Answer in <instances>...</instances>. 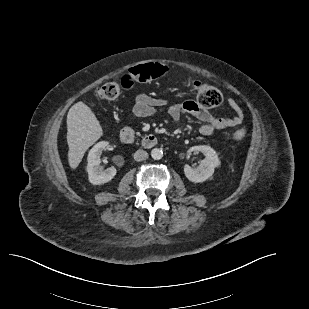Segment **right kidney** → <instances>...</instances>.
Segmentation results:
<instances>
[{
  "mask_svg": "<svg viewBox=\"0 0 309 309\" xmlns=\"http://www.w3.org/2000/svg\"><path fill=\"white\" fill-rule=\"evenodd\" d=\"M109 145L106 141H101L95 144L89 151L87 157V172L89 177V182L93 185H101L111 181L116 175V169L110 167L106 170L100 166V156L102 151Z\"/></svg>",
  "mask_w": 309,
  "mask_h": 309,
  "instance_id": "ca27d5eb",
  "label": "right kidney"
}]
</instances>
